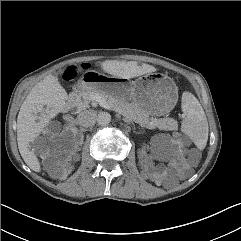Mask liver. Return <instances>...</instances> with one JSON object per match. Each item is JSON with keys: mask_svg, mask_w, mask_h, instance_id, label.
<instances>
[{"mask_svg": "<svg viewBox=\"0 0 241 241\" xmlns=\"http://www.w3.org/2000/svg\"><path fill=\"white\" fill-rule=\"evenodd\" d=\"M104 72L124 79H130L156 71V68L137 62L106 60L101 63ZM67 93L54 76H47L37 83L26 96L17 117V143L24 162L36 172H40V163L30 150V143L49 122L47 117H38L44 107L52 112H62L66 108ZM39 119V122L36 120Z\"/></svg>", "mask_w": 241, "mask_h": 241, "instance_id": "6515ba94", "label": "liver"}]
</instances>
